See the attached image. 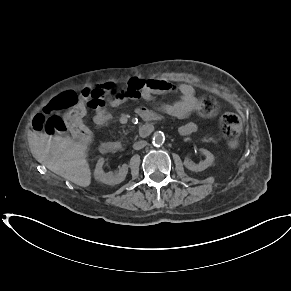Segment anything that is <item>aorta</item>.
<instances>
[{
    "label": "aorta",
    "instance_id": "obj_1",
    "mask_svg": "<svg viewBox=\"0 0 291 291\" xmlns=\"http://www.w3.org/2000/svg\"><path fill=\"white\" fill-rule=\"evenodd\" d=\"M164 142H165V135H164V133L161 132V131L154 132L153 138H152V143L155 146H161V145L164 144Z\"/></svg>",
    "mask_w": 291,
    "mask_h": 291
}]
</instances>
